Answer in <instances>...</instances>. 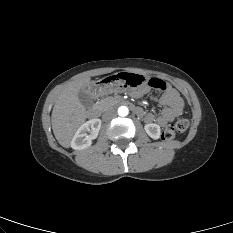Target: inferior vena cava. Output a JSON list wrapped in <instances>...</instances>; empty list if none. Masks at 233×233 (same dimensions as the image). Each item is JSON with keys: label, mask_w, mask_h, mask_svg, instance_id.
Returning <instances> with one entry per match:
<instances>
[{"label": "inferior vena cava", "mask_w": 233, "mask_h": 233, "mask_svg": "<svg viewBox=\"0 0 233 233\" xmlns=\"http://www.w3.org/2000/svg\"><path fill=\"white\" fill-rule=\"evenodd\" d=\"M116 111L111 109V110H107L106 112H104V114L102 115L103 120H110L116 117Z\"/></svg>", "instance_id": "obj_1"}]
</instances>
